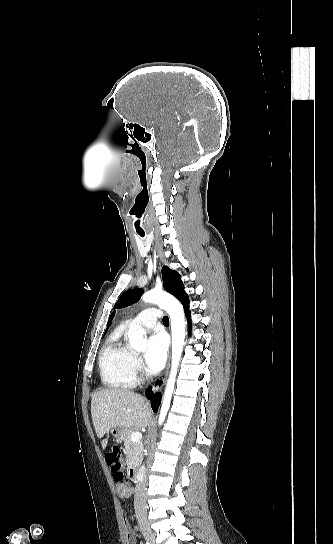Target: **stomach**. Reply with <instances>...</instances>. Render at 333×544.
Here are the masks:
<instances>
[{"label": "stomach", "mask_w": 333, "mask_h": 544, "mask_svg": "<svg viewBox=\"0 0 333 544\" xmlns=\"http://www.w3.org/2000/svg\"><path fill=\"white\" fill-rule=\"evenodd\" d=\"M126 432L127 430L125 429H120L117 427L111 428V434L118 441H121L125 437Z\"/></svg>", "instance_id": "obj_1"}]
</instances>
